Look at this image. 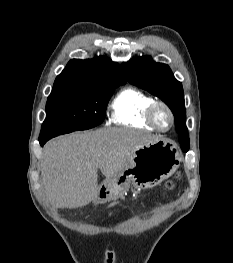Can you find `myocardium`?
I'll return each instance as SVG.
<instances>
[{
    "mask_svg": "<svg viewBox=\"0 0 233 263\" xmlns=\"http://www.w3.org/2000/svg\"><path fill=\"white\" fill-rule=\"evenodd\" d=\"M158 108H163L169 115L170 118V122L168 127L163 128L159 125V123L157 122L156 119V112L158 110ZM146 119L147 121L158 131L160 132H167L169 131L175 122V117L174 114L171 110V108L163 101H158V100H154L148 107L146 110Z\"/></svg>",
    "mask_w": 233,
    "mask_h": 263,
    "instance_id": "1",
    "label": "myocardium"
}]
</instances>
